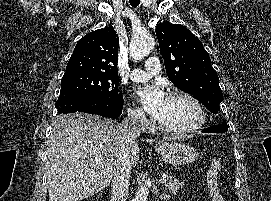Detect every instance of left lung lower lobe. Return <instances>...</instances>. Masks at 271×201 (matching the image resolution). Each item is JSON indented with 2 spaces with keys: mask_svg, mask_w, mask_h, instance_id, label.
Returning a JSON list of instances; mask_svg holds the SVG:
<instances>
[{
  "mask_svg": "<svg viewBox=\"0 0 271 201\" xmlns=\"http://www.w3.org/2000/svg\"><path fill=\"white\" fill-rule=\"evenodd\" d=\"M227 129H225L224 127H222L221 125H213V126H210L204 130H202V132H205V133H222V132H226Z\"/></svg>",
  "mask_w": 271,
  "mask_h": 201,
  "instance_id": "1",
  "label": "left lung lower lobe"
}]
</instances>
